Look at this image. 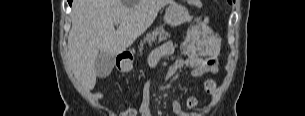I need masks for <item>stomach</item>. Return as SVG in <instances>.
Wrapping results in <instances>:
<instances>
[{"label":"stomach","mask_w":305,"mask_h":116,"mask_svg":"<svg viewBox=\"0 0 305 116\" xmlns=\"http://www.w3.org/2000/svg\"><path fill=\"white\" fill-rule=\"evenodd\" d=\"M189 18L188 10L175 2L171 3L169 7L165 11L164 21L172 26L176 27L184 22H186ZM133 67L132 61L129 59L124 60L121 65L120 69L123 72L130 71Z\"/></svg>","instance_id":"0dacf381"}]
</instances>
